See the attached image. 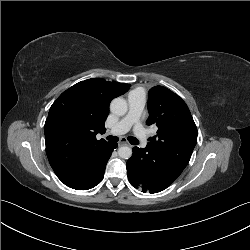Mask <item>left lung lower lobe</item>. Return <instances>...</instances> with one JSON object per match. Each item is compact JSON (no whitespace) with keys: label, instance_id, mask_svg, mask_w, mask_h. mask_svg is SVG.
Wrapping results in <instances>:
<instances>
[{"label":"left lung lower lobe","instance_id":"1","mask_svg":"<svg viewBox=\"0 0 250 250\" xmlns=\"http://www.w3.org/2000/svg\"><path fill=\"white\" fill-rule=\"evenodd\" d=\"M188 162L186 157L177 158L172 147L161 150L148 144L145 148L134 147L126 164L128 179L144 193H157L173 183Z\"/></svg>","mask_w":250,"mask_h":250}]
</instances>
